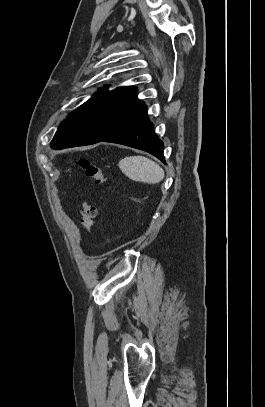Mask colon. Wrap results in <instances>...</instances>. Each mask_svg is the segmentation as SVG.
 Here are the masks:
<instances>
[{"mask_svg":"<svg viewBox=\"0 0 265 407\" xmlns=\"http://www.w3.org/2000/svg\"><path fill=\"white\" fill-rule=\"evenodd\" d=\"M78 165L95 187H101L106 183L107 178L103 168L100 165L92 163L87 159L78 160ZM96 215L97 208L94 203V195H91L85 198L82 202L81 224L86 234L90 233L94 225Z\"/></svg>","mask_w":265,"mask_h":407,"instance_id":"1","label":"colon"}]
</instances>
